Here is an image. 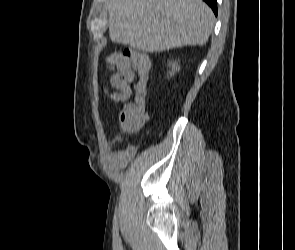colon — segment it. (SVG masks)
<instances>
[{"instance_id": "colon-1", "label": "colon", "mask_w": 295, "mask_h": 250, "mask_svg": "<svg viewBox=\"0 0 295 250\" xmlns=\"http://www.w3.org/2000/svg\"><path fill=\"white\" fill-rule=\"evenodd\" d=\"M133 51L126 49L123 52L113 53L109 56L110 63H117L131 55ZM133 97L126 103L118 113L119 122L127 132H134L141 129L146 123L148 115L145 107V96L147 94V80L139 79L133 85Z\"/></svg>"}]
</instances>
